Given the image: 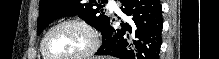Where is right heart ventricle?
Here are the masks:
<instances>
[{
    "label": "right heart ventricle",
    "mask_w": 219,
    "mask_h": 59,
    "mask_svg": "<svg viewBox=\"0 0 219 59\" xmlns=\"http://www.w3.org/2000/svg\"><path fill=\"white\" fill-rule=\"evenodd\" d=\"M41 53H42V51H41ZM42 58L43 59H48L43 53H42Z\"/></svg>",
    "instance_id": "right-heart-ventricle-1"
}]
</instances>
